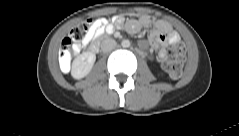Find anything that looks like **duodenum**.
I'll list each match as a JSON object with an SVG mask.
<instances>
[{
  "instance_id": "1",
  "label": "duodenum",
  "mask_w": 239,
  "mask_h": 136,
  "mask_svg": "<svg viewBox=\"0 0 239 136\" xmlns=\"http://www.w3.org/2000/svg\"><path fill=\"white\" fill-rule=\"evenodd\" d=\"M89 50H90L91 52H93V53L98 52V50H99V44H98V43H93V44L90 46Z\"/></svg>"
}]
</instances>
